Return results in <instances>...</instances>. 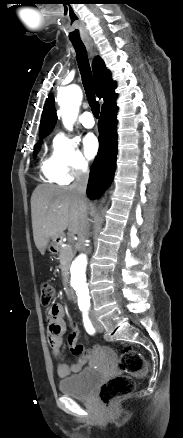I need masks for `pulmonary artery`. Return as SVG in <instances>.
Here are the masks:
<instances>
[{
	"instance_id": "e3ab8cb5",
	"label": "pulmonary artery",
	"mask_w": 183,
	"mask_h": 438,
	"mask_svg": "<svg viewBox=\"0 0 183 438\" xmlns=\"http://www.w3.org/2000/svg\"><path fill=\"white\" fill-rule=\"evenodd\" d=\"M82 124L86 128H92L94 126L95 122L91 111H85L82 114Z\"/></svg>"
}]
</instances>
